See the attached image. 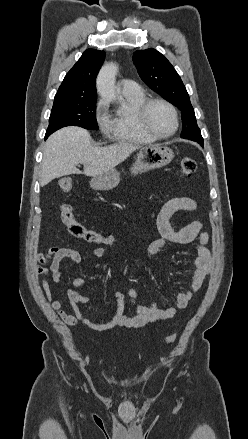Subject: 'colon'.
<instances>
[{"label":"colon","instance_id":"5ec220e1","mask_svg":"<svg viewBox=\"0 0 248 439\" xmlns=\"http://www.w3.org/2000/svg\"><path fill=\"white\" fill-rule=\"evenodd\" d=\"M196 168L197 164L192 158H184L180 162V173L183 176H190L195 172ZM58 185L62 192H69L72 189L73 182L71 178L64 177L59 180ZM60 211L62 222L67 227L70 234H72L74 237L83 239L84 241L96 246L114 244L115 239L111 234L89 229L78 221L74 215L73 208L69 203H62L60 206ZM176 338L177 333H173L166 337L165 343L171 344L176 340Z\"/></svg>","mask_w":248,"mask_h":439}]
</instances>
